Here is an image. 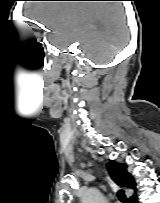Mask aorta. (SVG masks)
Wrapping results in <instances>:
<instances>
[{
    "label": "aorta",
    "mask_w": 160,
    "mask_h": 203,
    "mask_svg": "<svg viewBox=\"0 0 160 203\" xmlns=\"http://www.w3.org/2000/svg\"><path fill=\"white\" fill-rule=\"evenodd\" d=\"M82 203H106V200L98 189L89 188L82 194Z\"/></svg>",
    "instance_id": "1"
}]
</instances>
